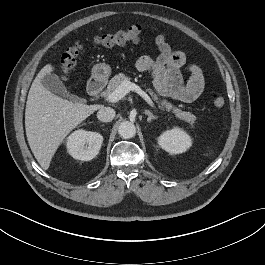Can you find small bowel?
Returning a JSON list of instances; mask_svg holds the SVG:
<instances>
[{
    "label": "small bowel",
    "instance_id": "obj_1",
    "mask_svg": "<svg viewBox=\"0 0 265 265\" xmlns=\"http://www.w3.org/2000/svg\"><path fill=\"white\" fill-rule=\"evenodd\" d=\"M155 43L160 51L158 57H139L137 69L153 74L154 86L160 96L187 103L196 100L204 89L202 70L195 64H187L186 54L181 50H173L163 34L156 36ZM182 69L189 74L186 83L181 74Z\"/></svg>",
    "mask_w": 265,
    "mask_h": 265
}]
</instances>
